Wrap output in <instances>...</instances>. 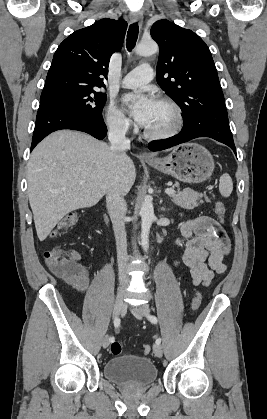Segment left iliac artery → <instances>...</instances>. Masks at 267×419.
I'll return each mask as SVG.
<instances>
[{
    "label": "left iliac artery",
    "instance_id": "44dca946",
    "mask_svg": "<svg viewBox=\"0 0 267 419\" xmlns=\"http://www.w3.org/2000/svg\"><path fill=\"white\" fill-rule=\"evenodd\" d=\"M146 317L153 324H156L158 322L156 316H154V315L146 314ZM160 343H161V338H157L156 339V344H160Z\"/></svg>",
    "mask_w": 267,
    "mask_h": 419
}]
</instances>
